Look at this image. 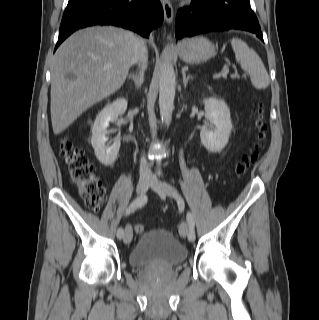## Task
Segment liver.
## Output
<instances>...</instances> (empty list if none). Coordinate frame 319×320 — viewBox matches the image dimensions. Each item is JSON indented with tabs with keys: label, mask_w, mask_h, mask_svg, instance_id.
Masks as SVG:
<instances>
[{
	"label": "liver",
	"mask_w": 319,
	"mask_h": 320,
	"mask_svg": "<svg viewBox=\"0 0 319 320\" xmlns=\"http://www.w3.org/2000/svg\"><path fill=\"white\" fill-rule=\"evenodd\" d=\"M136 39L132 32L121 28L93 26L76 31L60 45L51 69L55 135L120 89L134 63ZM68 74L75 78L70 79Z\"/></svg>",
	"instance_id": "1"
}]
</instances>
